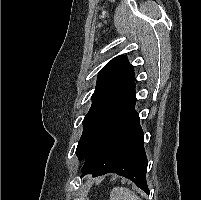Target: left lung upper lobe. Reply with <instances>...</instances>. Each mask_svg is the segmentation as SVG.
Segmentation results:
<instances>
[{"mask_svg":"<svg viewBox=\"0 0 201 200\" xmlns=\"http://www.w3.org/2000/svg\"><path fill=\"white\" fill-rule=\"evenodd\" d=\"M134 69L127 56L112 59L98 73L92 105L83 120V133L78 142L76 155L82 160L86 149L107 116L136 87Z\"/></svg>","mask_w":201,"mask_h":200,"instance_id":"5c2ea615","label":"left lung upper lobe"}]
</instances>
